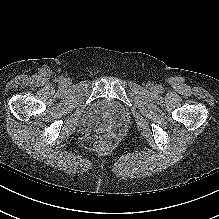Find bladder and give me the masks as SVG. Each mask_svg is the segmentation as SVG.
<instances>
[{"label": "bladder", "instance_id": "31cf9c89", "mask_svg": "<svg viewBox=\"0 0 219 219\" xmlns=\"http://www.w3.org/2000/svg\"><path fill=\"white\" fill-rule=\"evenodd\" d=\"M125 107L115 100H101L84 117V126L91 132H102L124 121Z\"/></svg>", "mask_w": 219, "mask_h": 219}]
</instances>
